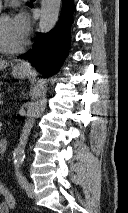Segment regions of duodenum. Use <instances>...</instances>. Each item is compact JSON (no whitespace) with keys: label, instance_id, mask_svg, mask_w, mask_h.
Segmentation results:
<instances>
[{"label":"duodenum","instance_id":"obj_1","mask_svg":"<svg viewBox=\"0 0 128 213\" xmlns=\"http://www.w3.org/2000/svg\"><path fill=\"white\" fill-rule=\"evenodd\" d=\"M8 149V141L6 139L0 140V155H3L6 153Z\"/></svg>","mask_w":128,"mask_h":213}]
</instances>
